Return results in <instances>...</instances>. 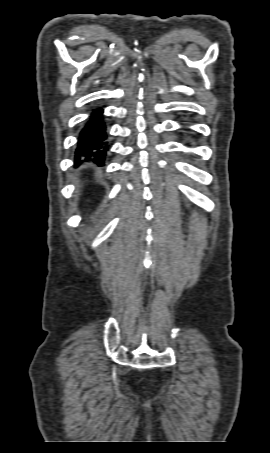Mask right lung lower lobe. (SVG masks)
<instances>
[{"label": "right lung lower lobe", "instance_id": "98d812e1", "mask_svg": "<svg viewBox=\"0 0 270 453\" xmlns=\"http://www.w3.org/2000/svg\"><path fill=\"white\" fill-rule=\"evenodd\" d=\"M109 149L102 109H95L80 131L75 152V164L92 160L102 165Z\"/></svg>", "mask_w": 270, "mask_h": 453}]
</instances>
